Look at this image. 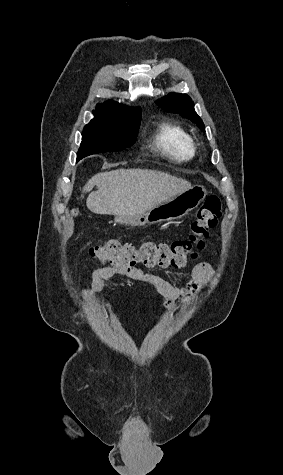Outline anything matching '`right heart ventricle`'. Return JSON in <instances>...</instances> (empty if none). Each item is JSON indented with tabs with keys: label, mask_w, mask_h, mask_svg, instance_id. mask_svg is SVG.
<instances>
[{
	"label": "right heart ventricle",
	"mask_w": 283,
	"mask_h": 475,
	"mask_svg": "<svg viewBox=\"0 0 283 475\" xmlns=\"http://www.w3.org/2000/svg\"><path fill=\"white\" fill-rule=\"evenodd\" d=\"M151 144L178 162H189L197 156L190 132L175 121L162 120L156 123Z\"/></svg>",
	"instance_id": "1"
}]
</instances>
